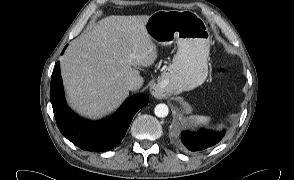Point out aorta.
I'll return each instance as SVG.
<instances>
[{
	"instance_id": "1",
	"label": "aorta",
	"mask_w": 294,
	"mask_h": 180,
	"mask_svg": "<svg viewBox=\"0 0 294 180\" xmlns=\"http://www.w3.org/2000/svg\"><path fill=\"white\" fill-rule=\"evenodd\" d=\"M154 113L157 117L163 118L168 115L169 108L166 104L160 103V104L156 105V107L154 109Z\"/></svg>"
}]
</instances>
